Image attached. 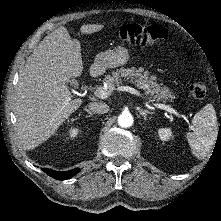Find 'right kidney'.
<instances>
[{
  "instance_id": "right-kidney-1",
  "label": "right kidney",
  "mask_w": 221,
  "mask_h": 221,
  "mask_svg": "<svg viewBox=\"0 0 221 221\" xmlns=\"http://www.w3.org/2000/svg\"><path fill=\"white\" fill-rule=\"evenodd\" d=\"M78 133H79V129H78V128H75V127L71 128V129L68 131V135H69L70 137H76V136L78 135Z\"/></svg>"
}]
</instances>
